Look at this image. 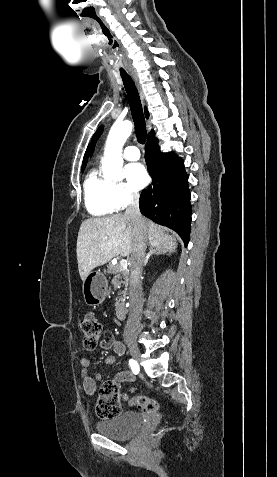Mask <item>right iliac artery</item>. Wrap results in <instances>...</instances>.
Wrapping results in <instances>:
<instances>
[{
  "label": "right iliac artery",
  "instance_id": "82829eb1",
  "mask_svg": "<svg viewBox=\"0 0 277 477\" xmlns=\"http://www.w3.org/2000/svg\"><path fill=\"white\" fill-rule=\"evenodd\" d=\"M129 365L131 367V369L133 370L134 373H136L138 371V363L133 360V359H130L129 360Z\"/></svg>",
  "mask_w": 277,
  "mask_h": 477
}]
</instances>
